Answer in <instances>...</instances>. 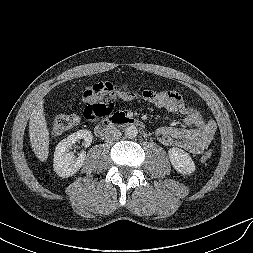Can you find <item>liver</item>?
Segmentation results:
<instances>
[{"instance_id":"obj_1","label":"liver","mask_w":253,"mask_h":253,"mask_svg":"<svg viewBox=\"0 0 253 253\" xmlns=\"http://www.w3.org/2000/svg\"><path fill=\"white\" fill-rule=\"evenodd\" d=\"M43 100L34 107L29 121V136L36 157L45 162L49 155V130L44 115Z\"/></svg>"}]
</instances>
